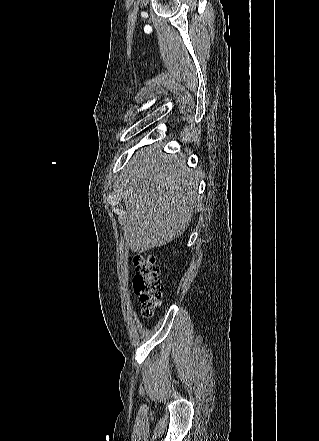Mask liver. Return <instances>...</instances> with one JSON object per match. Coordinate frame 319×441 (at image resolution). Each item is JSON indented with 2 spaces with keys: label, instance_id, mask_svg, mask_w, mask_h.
<instances>
[{
  "label": "liver",
  "instance_id": "1",
  "mask_svg": "<svg viewBox=\"0 0 319 441\" xmlns=\"http://www.w3.org/2000/svg\"><path fill=\"white\" fill-rule=\"evenodd\" d=\"M199 173L186 167L184 156L166 155L158 145L138 151L123 175L126 246L142 253L180 236L199 203Z\"/></svg>",
  "mask_w": 319,
  "mask_h": 441
}]
</instances>
